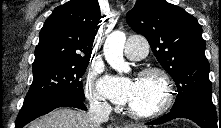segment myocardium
<instances>
[{"mask_svg":"<svg viewBox=\"0 0 221 128\" xmlns=\"http://www.w3.org/2000/svg\"><path fill=\"white\" fill-rule=\"evenodd\" d=\"M147 77L158 79L161 92L149 109L137 110L128 106V114L137 119H149L162 115L170 107L174 97L172 80L165 70L157 67H147L141 72V79Z\"/></svg>","mask_w":221,"mask_h":128,"instance_id":"1","label":"myocardium"}]
</instances>
